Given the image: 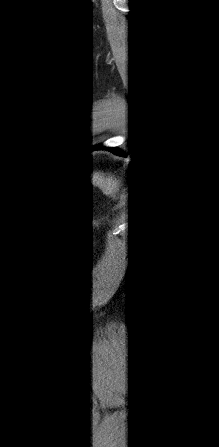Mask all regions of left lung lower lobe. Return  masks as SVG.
Here are the masks:
<instances>
[{"instance_id": "1", "label": "left lung lower lobe", "mask_w": 219, "mask_h": 447, "mask_svg": "<svg viewBox=\"0 0 219 447\" xmlns=\"http://www.w3.org/2000/svg\"><path fill=\"white\" fill-rule=\"evenodd\" d=\"M100 147H101L100 144H96L94 146H89L87 148V150L92 151V150L100 149ZM109 150L117 155H120V156L126 155V152H127V149L123 146H119L117 148H110Z\"/></svg>"}]
</instances>
